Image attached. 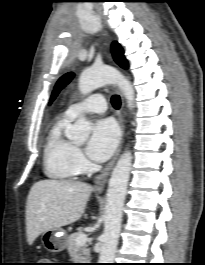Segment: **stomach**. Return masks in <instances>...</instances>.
<instances>
[{
	"label": "stomach",
	"mask_w": 205,
	"mask_h": 265,
	"mask_svg": "<svg viewBox=\"0 0 205 265\" xmlns=\"http://www.w3.org/2000/svg\"><path fill=\"white\" fill-rule=\"evenodd\" d=\"M42 243L50 252H61L67 247V234L63 229H52L42 234Z\"/></svg>",
	"instance_id": "1"
}]
</instances>
